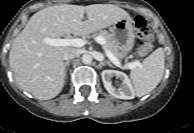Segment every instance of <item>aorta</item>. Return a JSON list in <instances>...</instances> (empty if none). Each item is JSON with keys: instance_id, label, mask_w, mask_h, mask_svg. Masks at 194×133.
Segmentation results:
<instances>
[{"instance_id": "762f6f07", "label": "aorta", "mask_w": 194, "mask_h": 133, "mask_svg": "<svg viewBox=\"0 0 194 133\" xmlns=\"http://www.w3.org/2000/svg\"><path fill=\"white\" fill-rule=\"evenodd\" d=\"M82 62H83L84 64H90V63L92 62V56L89 55V54H84V55L82 56Z\"/></svg>"}]
</instances>
